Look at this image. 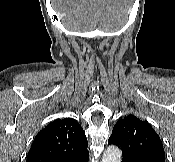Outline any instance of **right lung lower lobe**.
I'll use <instances>...</instances> for the list:
<instances>
[{"instance_id":"obj_1","label":"right lung lower lobe","mask_w":175,"mask_h":162,"mask_svg":"<svg viewBox=\"0 0 175 162\" xmlns=\"http://www.w3.org/2000/svg\"><path fill=\"white\" fill-rule=\"evenodd\" d=\"M83 162H88V158L86 160H83Z\"/></svg>"}]
</instances>
